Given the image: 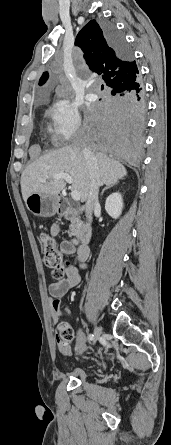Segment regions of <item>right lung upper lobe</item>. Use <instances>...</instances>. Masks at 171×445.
Returning <instances> with one entry per match:
<instances>
[{
    "instance_id": "obj_1",
    "label": "right lung upper lobe",
    "mask_w": 171,
    "mask_h": 445,
    "mask_svg": "<svg viewBox=\"0 0 171 445\" xmlns=\"http://www.w3.org/2000/svg\"><path fill=\"white\" fill-rule=\"evenodd\" d=\"M75 45L84 52V59L89 68L102 75L106 85L111 90H118L141 80L136 62L131 54L123 59L110 46L99 23L91 20L78 33ZM48 73L40 79V85L45 83Z\"/></svg>"
}]
</instances>
